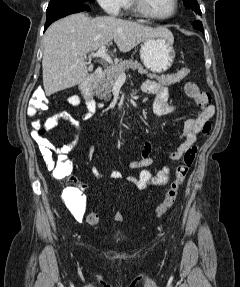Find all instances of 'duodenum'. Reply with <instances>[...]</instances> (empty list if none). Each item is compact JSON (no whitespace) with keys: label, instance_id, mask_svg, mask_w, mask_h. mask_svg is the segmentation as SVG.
Segmentation results:
<instances>
[{"label":"duodenum","instance_id":"1","mask_svg":"<svg viewBox=\"0 0 240 287\" xmlns=\"http://www.w3.org/2000/svg\"><path fill=\"white\" fill-rule=\"evenodd\" d=\"M102 75L103 69L98 67L80 84V90L85 100L89 102L92 101L94 94V86L96 85L97 81L102 77Z\"/></svg>","mask_w":240,"mask_h":287}]
</instances>
